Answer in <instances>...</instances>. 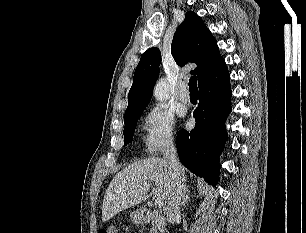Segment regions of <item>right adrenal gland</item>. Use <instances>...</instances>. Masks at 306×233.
<instances>
[{
	"label": "right adrenal gland",
	"instance_id": "1",
	"mask_svg": "<svg viewBox=\"0 0 306 233\" xmlns=\"http://www.w3.org/2000/svg\"><path fill=\"white\" fill-rule=\"evenodd\" d=\"M189 200H190V196H189V189H188V186H187L186 189H185V194H184L181 206L182 207L185 206L188 203Z\"/></svg>",
	"mask_w": 306,
	"mask_h": 233
}]
</instances>
